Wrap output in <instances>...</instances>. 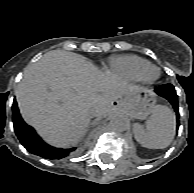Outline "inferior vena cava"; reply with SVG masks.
Returning <instances> with one entry per match:
<instances>
[{
  "instance_id": "obj_1",
  "label": "inferior vena cava",
  "mask_w": 194,
  "mask_h": 193,
  "mask_svg": "<svg viewBox=\"0 0 194 193\" xmlns=\"http://www.w3.org/2000/svg\"><path fill=\"white\" fill-rule=\"evenodd\" d=\"M88 112H89L90 119H92V120L97 119L99 111H98L97 106L95 104H92L90 106V109Z\"/></svg>"
}]
</instances>
